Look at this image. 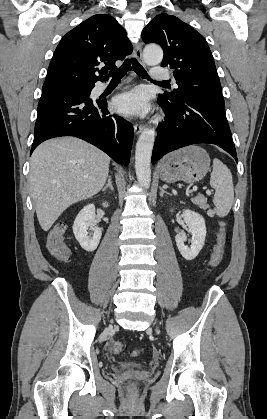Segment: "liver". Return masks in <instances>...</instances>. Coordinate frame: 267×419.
Instances as JSON below:
<instances>
[{"instance_id":"obj_1","label":"liver","mask_w":267,"mask_h":419,"mask_svg":"<svg viewBox=\"0 0 267 419\" xmlns=\"http://www.w3.org/2000/svg\"><path fill=\"white\" fill-rule=\"evenodd\" d=\"M109 163L107 154L78 138L40 144L30 159L29 184L41 228L48 231L70 205L97 194Z\"/></svg>"}]
</instances>
